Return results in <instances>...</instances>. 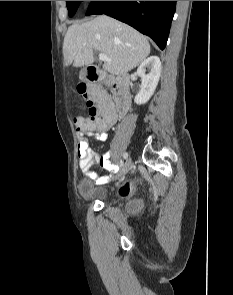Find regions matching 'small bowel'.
Segmentation results:
<instances>
[{
  "label": "small bowel",
  "instance_id": "obj_1",
  "mask_svg": "<svg viewBox=\"0 0 233 295\" xmlns=\"http://www.w3.org/2000/svg\"><path fill=\"white\" fill-rule=\"evenodd\" d=\"M97 106L102 112L103 118L94 127L78 131L77 157L82 173L91 177L97 184H103L108 181L109 177L100 176L98 173L91 171V166L97 164L102 170H108L112 173H116L119 167L116 164L110 163V151L105 153L94 152L90 147L88 138L84 134L89 133L96 140L105 141L107 131L116 124L120 113L117 110L116 103L106 92H102L99 96Z\"/></svg>",
  "mask_w": 233,
  "mask_h": 295
}]
</instances>
